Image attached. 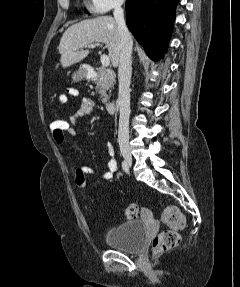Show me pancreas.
Segmentation results:
<instances>
[{
  "label": "pancreas",
  "mask_w": 240,
  "mask_h": 287,
  "mask_svg": "<svg viewBox=\"0 0 240 287\" xmlns=\"http://www.w3.org/2000/svg\"><path fill=\"white\" fill-rule=\"evenodd\" d=\"M96 83V91L100 94L102 103H107L111 90L116 83V75L114 71L106 69L105 67H99L97 69V77L94 79Z\"/></svg>",
  "instance_id": "obj_1"
}]
</instances>
